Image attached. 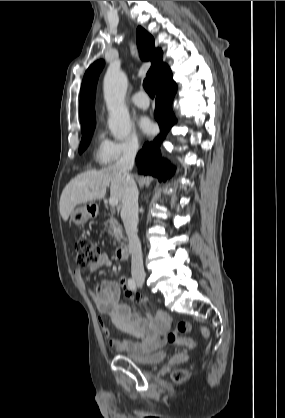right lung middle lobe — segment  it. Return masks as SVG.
Segmentation results:
<instances>
[{"label": "right lung middle lobe", "instance_id": "dd1d6c3e", "mask_svg": "<svg viewBox=\"0 0 285 418\" xmlns=\"http://www.w3.org/2000/svg\"><path fill=\"white\" fill-rule=\"evenodd\" d=\"M95 125H96V122L82 127V139H81V144L79 147L80 153H82L88 146L92 133L94 131Z\"/></svg>", "mask_w": 285, "mask_h": 418}]
</instances>
